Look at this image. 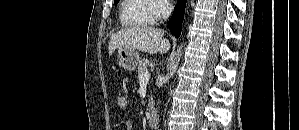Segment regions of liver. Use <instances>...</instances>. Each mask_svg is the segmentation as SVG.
Returning a JSON list of instances; mask_svg holds the SVG:
<instances>
[{
    "instance_id": "liver-1",
    "label": "liver",
    "mask_w": 299,
    "mask_h": 130,
    "mask_svg": "<svg viewBox=\"0 0 299 130\" xmlns=\"http://www.w3.org/2000/svg\"><path fill=\"white\" fill-rule=\"evenodd\" d=\"M119 48L138 49L139 51L164 54L169 51L170 43L164 39V31L157 28L131 27L113 34L109 41V55Z\"/></svg>"
}]
</instances>
